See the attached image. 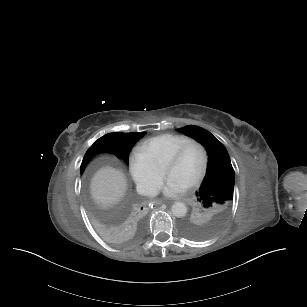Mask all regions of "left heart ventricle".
<instances>
[{"instance_id":"left-heart-ventricle-1","label":"left heart ventricle","mask_w":307,"mask_h":307,"mask_svg":"<svg viewBox=\"0 0 307 307\" xmlns=\"http://www.w3.org/2000/svg\"><path fill=\"white\" fill-rule=\"evenodd\" d=\"M204 163V154L199 144H192L183 157L166 166L165 174L173 175L187 185L200 173Z\"/></svg>"}]
</instances>
